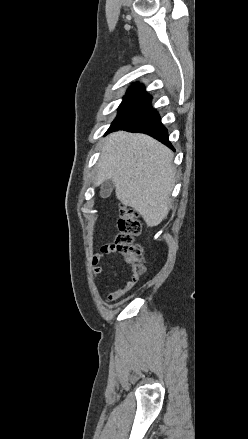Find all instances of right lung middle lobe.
<instances>
[{
    "label": "right lung middle lobe",
    "mask_w": 248,
    "mask_h": 439,
    "mask_svg": "<svg viewBox=\"0 0 248 439\" xmlns=\"http://www.w3.org/2000/svg\"><path fill=\"white\" fill-rule=\"evenodd\" d=\"M151 97L126 95L118 108V115L111 126L126 119L136 111L151 103Z\"/></svg>",
    "instance_id": "right-lung-middle-lobe-1"
}]
</instances>
